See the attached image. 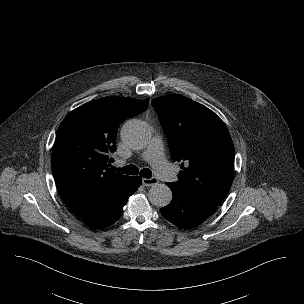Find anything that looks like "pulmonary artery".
I'll use <instances>...</instances> for the list:
<instances>
[{"label":"pulmonary artery","mask_w":304,"mask_h":304,"mask_svg":"<svg viewBox=\"0 0 304 304\" xmlns=\"http://www.w3.org/2000/svg\"><path fill=\"white\" fill-rule=\"evenodd\" d=\"M143 158L150 162L156 174L164 181H173L176 173L163 155V144L159 136H154L142 154Z\"/></svg>","instance_id":"obj_1"}]
</instances>
